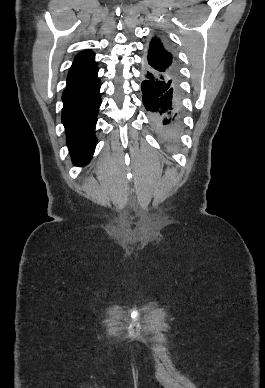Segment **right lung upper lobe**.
Returning a JSON list of instances; mask_svg holds the SVG:
<instances>
[{"label": "right lung upper lobe", "mask_w": 265, "mask_h": 388, "mask_svg": "<svg viewBox=\"0 0 265 388\" xmlns=\"http://www.w3.org/2000/svg\"><path fill=\"white\" fill-rule=\"evenodd\" d=\"M94 59L95 54L91 50L80 52L70 68L67 82L83 80L97 74L98 67Z\"/></svg>", "instance_id": "right-lung-upper-lobe-1"}]
</instances>
